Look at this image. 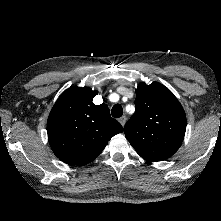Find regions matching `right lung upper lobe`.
I'll list each match as a JSON object with an SVG mask.
<instances>
[{
	"label": "right lung upper lobe",
	"instance_id": "obj_1",
	"mask_svg": "<svg viewBox=\"0 0 221 221\" xmlns=\"http://www.w3.org/2000/svg\"><path fill=\"white\" fill-rule=\"evenodd\" d=\"M96 90L73 87L54 104L47 121V132L54 154L70 165H85L103 151L114 135L123 132L110 116L106 104H93Z\"/></svg>",
	"mask_w": 221,
	"mask_h": 221
}]
</instances>
